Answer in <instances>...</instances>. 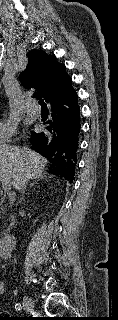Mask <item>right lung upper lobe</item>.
I'll list each match as a JSON object with an SVG mask.
<instances>
[{
  "label": "right lung upper lobe",
  "instance_id": "right-lung-upper-lobe-1",
  "mask_svg": "<svg viewBox=\"0 0 118 320\" xmlns=\"http://www.w3.org/2000/svg\"><path fill=\"white\" fill-rule=\"evenodd\" d=\"M20 77L25 88H35L36 94L47 102L72 87V79L66 73L65 65L43 50L28 53V64Z\"/></svg>",
  "mask_w": 118,
  "mask_h": 320
}]
</instances>
